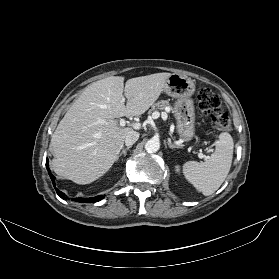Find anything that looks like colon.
Instances as JSON below:
<instances>
[{
	"label": "colon",
	"instance_id": "1",
	"mask_svg": "<svg viewBox=\"0 0 279 279\" xmlns=\"http://www.w3.org/2000/svg\"><path fill=\"white\" fill-rule=\"evenodd\" d=\"M198 106L203 115L211 117L212 123L217 130H230L231 119L222 110L221 99L218 94L208 88L201 89L198 93Z\"/></svg>",
	"mask_w": 279,
	"mask_h": 279
}]
</instances>
